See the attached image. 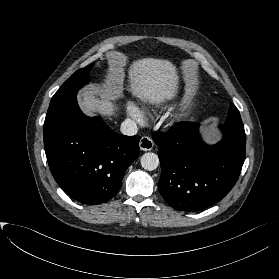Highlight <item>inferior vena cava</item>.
<instances>
[{
    "label": "inferior vena cava",
    "instance_id": "obj_1",
    "mask_svg": "<svg viewBox=\"0 0 279 279\" xmlns=\"http://www.w3.org/2000/svg\"><path fill=\"white\" fill-rule=\"evenodd\" d=\"M120 131L124 135L132 136L137 134L138 127L135 121L131 119H126L125 121L122 122Z\"/></svg>",
    "mask_w": 279,
    "mask_h": 279
}]
</instances>
